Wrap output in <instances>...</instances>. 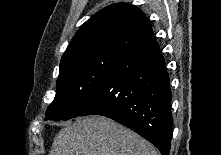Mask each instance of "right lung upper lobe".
Returning <instances> with one entry per match:
<instances>
[{"label":"right lung upper lobe","mask_w":221,"mask_h":155,"mask_svg":"<svg viewBox=\"0 0 221 155\" xmlns=\"http://www.w3.org/2000/svg\"><path fill=\"white\" fill-rule=\"evenodd\" d=\"M151 37L152 28L140 9L125 3L112 4L80 27L62 56L60 70L73 61L102 53L126 55Z\"/></svg>","instance_id":"right-lung-upper-lobe-1"}]
</instances>
